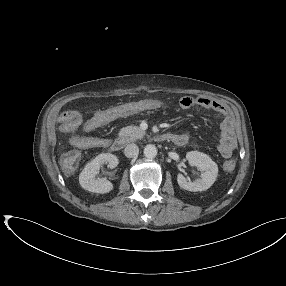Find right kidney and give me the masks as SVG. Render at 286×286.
Returning a JSON list of instances; mask_svg holds the SVG:
<instances>
[{"mask_svg":"<svg viewBox=\"0 0 286 286\" xmlns=\"http://www.w3.org/2000/svg\"><path fill=\"white\" fill-rule=\"evenodd\" d=\"M103 164L115 168L118 165V158L110 153H102L87 163L79 175V183L82 188L93 193H108L113 189V184L105 178H96L99 168Z\"/></svg>","mask_w":286,"mask_h":286,"instance_id":"obj_1","label":"right kidney"}]
</instances>
